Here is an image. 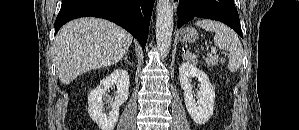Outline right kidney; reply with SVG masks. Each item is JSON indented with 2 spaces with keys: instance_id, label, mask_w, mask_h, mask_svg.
<instances>
[{
  "instance_id": "obj_1",
  "label": "right kidney",
  "mask_w": 299,
  "mask_h": 130,
  "mask_svg": "<svg viewBox=\"0 0 299 130\" xmlns=\"http://www.w3.org/2000/svg\"><path fill=\"white\" fill-rule=\"evenodd\" d=\"M116 86L117 91L114 101L110 102L112 110L109 114L103 112V98L106 91ZM129 75L126 70L117 69L100 81V84L88 95V113L91 119L97 123L101 130H113L118 118L119 107L128 99Z\"/></svg>"
}]
</instances>
